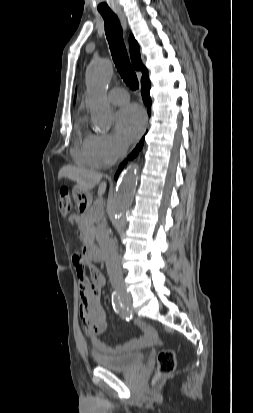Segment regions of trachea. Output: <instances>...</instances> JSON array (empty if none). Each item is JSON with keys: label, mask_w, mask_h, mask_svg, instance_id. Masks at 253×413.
I'll return each instance as SVG.
<instances>
[{"label": "trachea", "mask_w": 253, "mask_h": 413, "mask_svg": "<svg viewBox=\"0 0 253 413\" xmlns=\"http://www.w3.org/2000/svg\"><path fill=\"white\" fill-rule=\"evenodd\" d=\"M101 15L104 19L105 34L115 66L126 85L132 90H136L139 83L127 54L120 21L115 14Z\"/></svg>", "instance_id": "3493384b"}]
</instances>
